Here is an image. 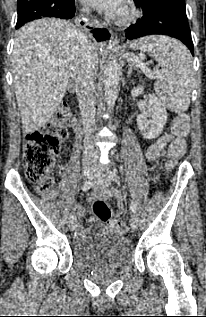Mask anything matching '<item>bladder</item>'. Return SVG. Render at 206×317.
I'll return each mask as SVG.
<instances>
[{"label": "bladder", "instance_id": "bladder-1", "mask_svg": "<svg viewBox=\"0 0 206 317\" xmlns=\"http://www.w3.org/2000/svg\"><path fill=\"white\" fill-rule=\"evenodd\" d=\"M133 255L132 242L121 235H103L77 242L73 258L85 269H116Z\"/></svg>", "mask_w": 206, "mask_h": 317}]
</instances>
